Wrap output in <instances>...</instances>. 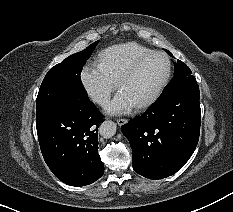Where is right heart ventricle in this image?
Instances as JSON below:
<instances>
[{"mask_svg":"<svg viewBox=\"0 0 233 212\" xmlns=\"http://www.w3.org/2000/svg\"><path fill=\"white\" fill-rule=\"evenodd\" d=\"M150 51L149 48L135 42L113 45L99 53L98 65L112 81L117 83L137 58Z\"/></svg>","mask_w":233,"mask_h":212,"instance_id":"right-heart-ventricle-1","label":"right heart ventricle"}]
</instances>
